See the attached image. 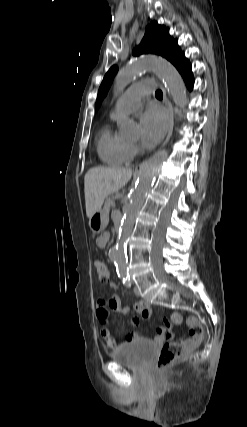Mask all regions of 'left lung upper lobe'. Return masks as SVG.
I'll list each match as a JSON object with an SVG mask.
<instances>
[{
  "label": "left lung upper lobe",
  "mask_w": 247,
  "mask_h": 427,
  "mask_svg": "<svg viewBox=\"0 0 247 427\" xmlns=\"http://www.w3.org/2000/svg\"><path fill=\"white\" fill-rule=\"evenodd\" d=\"M157 54L169 60L175 67L186 60L184 54L179 50L177 40L169 35V29L152 22L146 27L144 37L139 46L133 51L135 56L141 54ZM117 66H112L106 73L97 96L96 110L99 108L103 98L117 73Z\"/></svg>",
  "instance_id": "1"
}]
</instances>
